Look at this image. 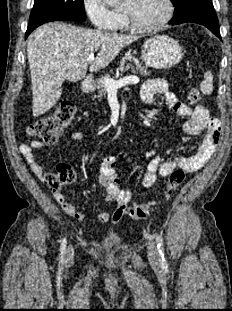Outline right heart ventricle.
Listing matches in <instances>:
<instances>
[{"label": "right heart ventricle", "mask_w": 232, "mask_h": 311, "mask_svg": "<svg viewBox=\"0 0 232 311\" xmlns=\"http://www.w3.org/2000/svg\"><path fill=\"white\" fill-rule=\"evenodd\" d=\"M126 29H127V24L125 22V19H124V17L122 15H120V19H119L116 27L114 28V30H116V31H125Z\"/></svg>", "instance_id": "e07e8e85"}]
</instances>
